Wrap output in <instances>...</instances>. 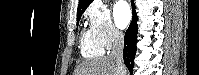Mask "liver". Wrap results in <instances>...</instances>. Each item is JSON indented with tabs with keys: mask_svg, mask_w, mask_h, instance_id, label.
Returning <instances> with one entry per match:
<instances>
[{
	"mask_svg": "<svg viewBox=\"0 0 199 75\" xmlns=\"http://www.w3.org/2000/svg\"><path fill=\"white\" fill-rule=\"evenodd\" d=\"M75 75H117L116 62L111 56L85 60L78 65Z\"/></svg>",
	"mask_w": 199,
	"mask_h": 75,
	"instance_id": "obj_1",
	"label": "liver"
}]
</instances>
